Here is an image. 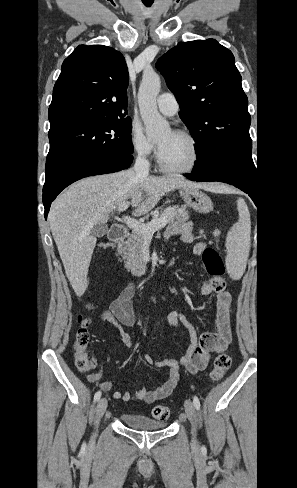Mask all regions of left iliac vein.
<instances>
[{
	"label": "left iliac vein",
	"mask_w": 297,
	"mask_h": 488,
	"mask_svg": "<svg viewBox=\"0 0 297 488\" xmlns=\"http://www.w3.org/2000/svg\"><path fill=\"white\" fill-rule=\"evenodd\" d=\"M184 408H185L186 415L192 424V432H191V434H192V447L194 450H197L198 449V442L196 439V434H197V432H196V429H197L196 410H195L194 404L189 399H187L185 401Z\"/></svg>",
	"instance_id": "1"
}]
</instances>
